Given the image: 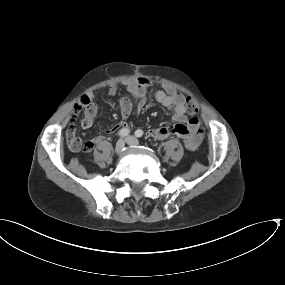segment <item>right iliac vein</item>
Segmentation results:
<instances>
[{
  "mask_svg": "<svg viewBox=\"0 0 285 285\" xmlns=\"http://www.w3.org/2000/svg\"><path fill=\"white\" fill-rule=\"evenodd\" d=\"M124 146H125L124 140L122 139L118 140L115 146V153L117 155H121L124 150Z\"/></svg>",
  "mask_w": 285,
  "mask_h": 285,
  "instance_id": "right-iliac-vein-1",
  "label": "right iliac vein"
}]
</instances>
